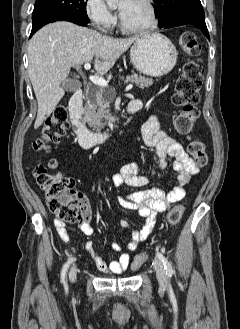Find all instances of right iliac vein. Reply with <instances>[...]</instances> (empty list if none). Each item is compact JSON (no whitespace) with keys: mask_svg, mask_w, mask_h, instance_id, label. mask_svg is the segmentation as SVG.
<instances>
[{"mask_svg":"<svg viewBox=\"0 0 240 329\" xmlns=\"http://www.w3.org/2000/svg\"><path fill=\"white\" fill-rule=\"evenodd\" d=\"M76 275H77L76 267H73L69 273V278L71 282H75Z\"/></svg>","mask_w":240,"mask_h":329,"instance_id":"1","label":"right iliac vein"}]
</instances>
